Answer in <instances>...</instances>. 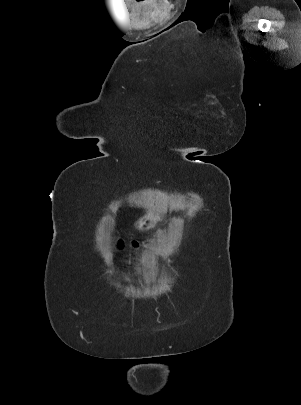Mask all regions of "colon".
I'll return each mask as SVG.
<instances>
[{
	"label": "colon",
	"mask_w": 301,
	"mask_h": 405,
	"mask_svg": "<svg viewBox=\"0 0 301 405\" xmlns=\"http://www.w3.org/2000/svg\"><path fill=\"white\" fill-rule=\"evenodd\" d=\"M132 245H133L134 247H136V246H137V243L134 242ZM117 246H118L119 248L122 247V243H121V242H118V243H117Z\"/></svg>",
	"instance_id": "colon-1"
}]
</instances>
